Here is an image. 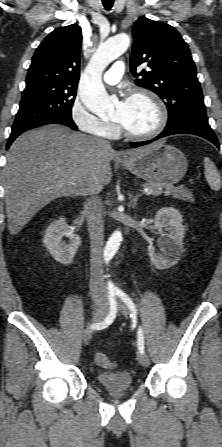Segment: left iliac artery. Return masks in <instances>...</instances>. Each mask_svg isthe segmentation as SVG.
<instances>
[{"label": "left iliac artery", "mask_w": 222, "mask_h": 447, "mask_svg": "<svg viewBox=\"0 0 222 447\" xmlns=\"http://www.w3.org/2000/svg\"><path fill=\"white\" fill-rule=\"evenodd\" d=\"M115 294L117 296H119L121 298V300L128 306V308L132 312L131 315L136 316L137 309H136L133 301L131 300V298L125 292H123L121 290H116ZM138 348H139L140 352H144V335H143V330L141 327L138 329Z\"/></svg>", "instance_id": "obj_1"}]
</instances>
